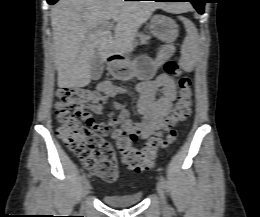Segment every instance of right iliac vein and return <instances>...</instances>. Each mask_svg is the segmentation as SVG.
I'll use <instances>...</instances> for the list:
<instances>
[{"label": "right iliac vein", "mask_w": 260, "mask_h": 217, "mask_svg": "<svg viewBox=\"0 0 260 217\" xmlns=\"http://www.w3.org/2000/svg\"><path fill=\"white\" fill-rule=\"evenodd\" d=\"M90 189H91L90 182L88 180H86L84 182V185H83V195H84V197L90 192Z\"/></svg>", "instance_id": "63e3f726"}]
</instances>
